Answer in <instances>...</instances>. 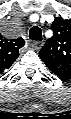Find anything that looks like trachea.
Listing matches in <instances>:
<instances>
[{
	"mask_svg": "<svg viewBox=\"0 0 71 119\" xmlns=\"http://www.w3.org/2000/svg\"><path fill=\"white\" fill-rule=\"evenodd\" d=\"M29 38L32 39V40L41 41L42 40L41 29L39 27H37V26H33L30 29Z\"/></svg>",
	"mask_w": 71,
	"mask_h": 119,
	"instance_id": "obj_1",
	"label": "trachea"
}]
</instances>
